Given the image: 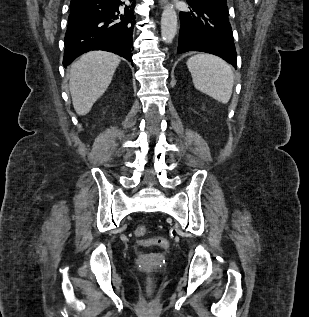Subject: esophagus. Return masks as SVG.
I'll list each match as a JSON object with an SVG mask.
<instances>
[{
    "label": "esophagus",
    "instance_id": "1",
    "mask_svg": "<svg viewBox=\"0 0 309 317\" xmlns=\"http://www.w3.org/2000/svg\"><path fill=\"white\" fill-rule=\"evenodd\" d=\"M159 1H160V4L163 5L166 0H159Z\"/></svg>",
    "mask_w": 309,
    "mask_h": 317
}]
</instances>
